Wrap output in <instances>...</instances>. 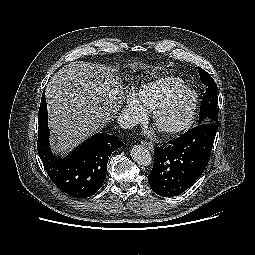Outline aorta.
<instances>
[{"instance_id": "762f6f07", "label": "aorta", "mask_w": 255, "mask_h": 255, "mask_svg": "<svg viewBox=\"0 0 255 255\" xmlns=\"http://www.w3.org/2000/svg\"><path fill=\"white\" fill-rule=\"evenodd\" d=\"M131 157L139 165L149 166L152 162L150 152L142 145H134L131 148Z\"/></svg>"}]
</instances>
